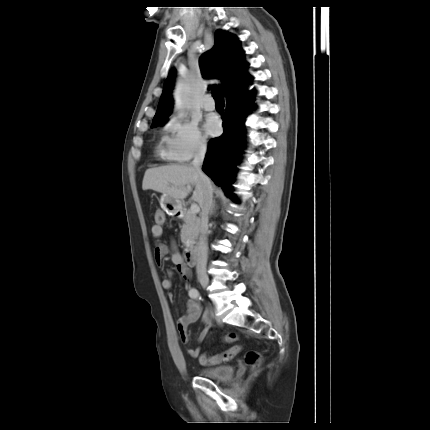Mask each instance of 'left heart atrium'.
I'll return each mask as SVG.
<instances>
[{"instance_id":"1","label":"left heart atrium","mask_w":430,"mask_h":430,"mask_svg":"<svg viewBox=\"0 0 430 430\" xmlns=\"http://www.w3.org/2000/svg\"><path fill=\"white\" fill-rule=\"evenodd\" d=\"M205 129L209 134H215L218 130V122L216 119L211 118L205 124Z\"/></svg>"}]
</instances>
